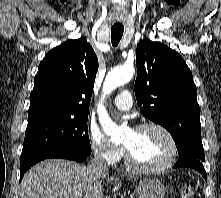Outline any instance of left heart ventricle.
Here are the masks:
<instances>
[{
  "label": "left heart ventricle",
  "mask_w": 221,
  "mask_h": 198,
  "mask_svg": "<svg viewBox=\"0 0 221 198\" xmlns=\"http://www.w3.org/2000/svg\"><path fill=\"white\" fill-rule=\"evenodd\" d=\"M123 145L130 151L135 161L143 166L160 165L170 153L166 137L153 128L128 132Z\"/></svg>",
  "instance_id": "obj_1"
}]
</instances>
